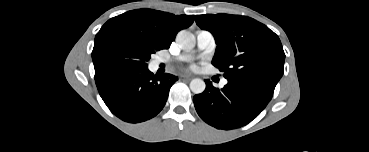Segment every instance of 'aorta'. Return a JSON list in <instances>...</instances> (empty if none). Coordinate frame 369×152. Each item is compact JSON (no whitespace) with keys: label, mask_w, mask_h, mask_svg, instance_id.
<instances>
[{"label":"aorta","mask_w":369,"mask_h":152,"mask_svg":"<svg viewBox=\"0 0 369 152\" xmlns=\"http://www.w3.org/2000/svg\"><path fill=\"white\" fill-rule=\"evenodd\" d=\"M177 42L184 50H191L195 47L196 39L194 34L187 30H181L177 34ZM206 84L202 79L195 78L190 82V89L194 94H200L204 92Z\"/></svg>","instance_id":"aorta-1"}]
</instances>
